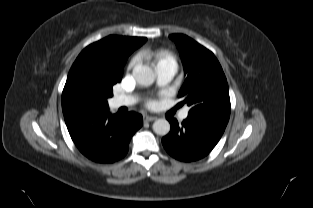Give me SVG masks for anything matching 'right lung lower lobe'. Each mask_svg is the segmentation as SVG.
<instances>
[{"label":"right lung lower lobe","instance_id":"right-lung-lower-lobe-1","mask_svg":"<svg viewBox=\"0 0 313 208\" xmlns=\"http://www.w3.org/2000/svg\"><path fill=\"white\" fill-rule=\"evenodd\" d=\"M69 134L89 159L112 163L128 152L133 134L142 126V116L135 112L115 116L108 106H93L78 101L62 103Z\"/></svg>","mask_w":313,"mask_h":208}]
</instances>
